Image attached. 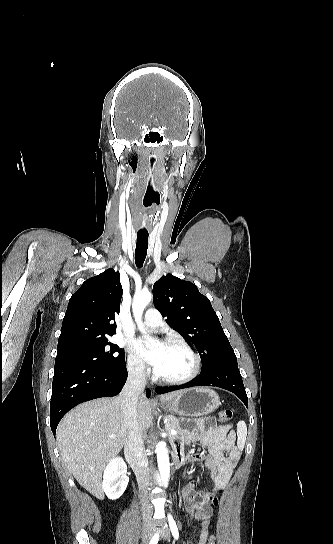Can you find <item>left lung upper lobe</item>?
<instances>
[{"instance_id": "5c2ea615", "label": "left lung upper lobe", "mask_w": 333, "mask_h": 544, "mask_svg": "<svg viewBox=\"0 0 333 544\" xmlns=\"http://www.w3.org/2000/svg\"><path fill=\"white\" fill-rule=\"evenodd\" d=\"M153 299L155 308L167 317V324L195 345L201 371L214 364L237 363L209 299L195 284L167 274L154 283Z\"/></svg>"}]
</instances>
